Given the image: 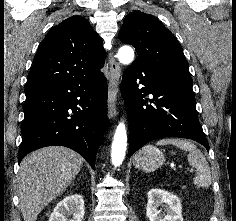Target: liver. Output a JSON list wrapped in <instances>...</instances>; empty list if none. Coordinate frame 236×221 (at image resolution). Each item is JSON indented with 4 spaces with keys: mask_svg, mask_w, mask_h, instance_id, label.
<instances>
[{
    "mask_svg": "<svg viewBox=\"0 0 236 221\" xmlns=\"http://www.w3.org/2000/svg\"><path fill=\"white\" fill-rule=\"evenodd\" d=\"M81 168V156L61 146L41 148L24 158L18 176L24 221H36L41 210L71 184Z\"/></svg>",
    "mask_w": 236,
    "mask_h": 221,
    "instance_id": "1",
    "label": "liver"
}]
</instances>
